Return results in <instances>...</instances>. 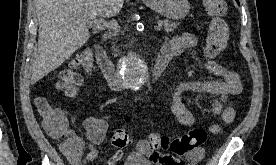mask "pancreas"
<instances>
[{
	"instance_id": "1",
	"label": "pancreas",
	"mask_w": 276,
	"mask_h": 165,
	"mask_svg": "<svg viewBox=\"0 0 276 165\" xmlns=\"http://www.w3.org/2000/svg\"><path fill=\"white\" fill-rule=\"evenodd\" d=\"M163 25L165 32H172L178 26V23L164 21Z\"/></svg>"
}]
</instances>
